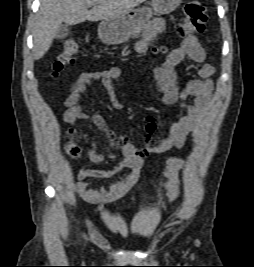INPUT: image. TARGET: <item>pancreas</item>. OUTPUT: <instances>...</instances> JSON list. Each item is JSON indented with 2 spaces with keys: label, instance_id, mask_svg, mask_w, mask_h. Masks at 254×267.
Here are the masks:
<instances>
[{
  "label": "pancreas",
  "instance_id": "1",
  "mask_svg": "<svg viewBox=\"0 0 254 267\" xmlns=\"http://www.w3.org/2000/svg\"><path fill=\"white\" fill-rule=\"evenodd\" d=\"M141 31H142V27H139V28L135 31V33L133 34L134 37H138L139 34L141 33Z\"/></svg>",
  "mask_w": 254,
  "mask_h": 267
}]
</instances>
